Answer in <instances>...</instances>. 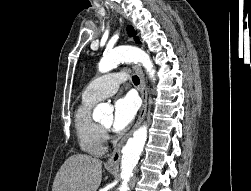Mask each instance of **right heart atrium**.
<instances>
[{"instance_id": "right-heart-atrium-1", "label": "right heart atrium", "mask_w": 251, "mask_h": 191, "mask_svg": "<svg viewBox=\"0 0 251 191\" xmlns=\"http://www.w3.org/2000/svg\"><path fill=\"white\" fill-rule=\"evenodd\" d=\"M105 135H106V139L108 138V135H107V133L105 132Z\"/></svg>"}]
</instances>
